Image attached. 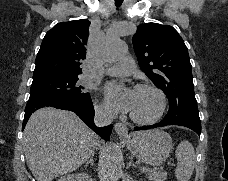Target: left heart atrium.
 I'll return each instance as SVG.
<instances>
[{
    "mask_svg": "<svg viewBox=\"0 0 228 181\" xmlns=\"http://www.w3.org/2000/svg\"><path fill=\"white\" fill-rule=\"evenodd\" d=\"M107 95L111 102L113 110L130 111L132 108V91L125 89L121 92L118 91L115 85H109L107 87Z\"/></svg>",
    "mask_w": 228,
    "mask_h": 181,
    "instance_id": "left-heart-atrium-1",
    "label": "left heart atrium"
}]
</instances>
